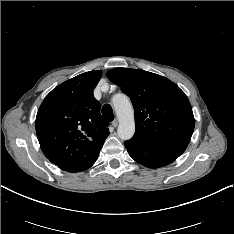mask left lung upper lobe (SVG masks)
<instances>
[{"mask_svg": "<svg viewBox=\"0 0 234 234\" xmlns=\"http://www.w3.org/2000/svg\"><path fill=\"white\" fill-rule=\"evenodd\" d=\"M107 77L133 104L136 132L131 141L188 144L195 119L184 92L169 79L140 69L114 68Z\"/></svg>", "mask_w": 234, "mask_h": 234, "instance_id": "1", "label": "left lung upper lobe"}]
</instances>
